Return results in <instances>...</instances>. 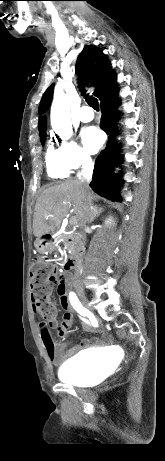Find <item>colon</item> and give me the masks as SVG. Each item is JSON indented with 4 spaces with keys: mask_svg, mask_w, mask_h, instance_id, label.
Listing matches in <instances>:
<instances>
[{
    "mask_svg": "<svg viewBox=\"0 0 165 461\" xmlns=\"http://www.w3.org/2000/svg\"><path fill=\"white\" fill-rule=\"evenodd\" d=\"M58 273L55 265L41 259L34 261L30 268L32 301L39 314L45 318L55 314V305L50 299V293L53 285L57 283ZM43 336L47 344H53L47 330L44 331Z\"/></svg>",
    "mask_w": 165,
    "mask_h": 461,
    "instance_id": "5ec220e1",
    "label": "colon"
}]
</instances>
